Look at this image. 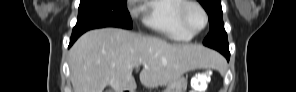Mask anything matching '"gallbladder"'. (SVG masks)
I'll return each mask as SVG.
<instances>
[{"mask_svg": "<svg viewBox=\"0 0 296 92\" xmlns=\"http://www.w3.org/2000/svg\"><path fill=\"white\" fill-rule=\"evenodd\" d=\"M106 92H112V90H107Z\"/></svg>", "mask_w": 296, "mask_h": 92, "instance_id": "bac80fb5", "label": "gallbladder"}]
</instances>
